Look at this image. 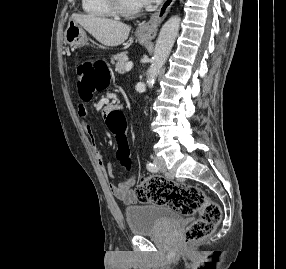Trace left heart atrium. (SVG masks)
Returning <instances> with one entry per match:
<instances>
[{
    "mask_svg": "<svg viewBox=\"0 0 286 269\" xmlns=\"http://www.w3.org/2000/svg\"><path fill=\"white\" fill-rule=\"evenodd\" d=\"M141 6H148L160 2L161 0H138Z\"/></svg>",
    "mask_w": 286,
    "mask_h": 269,
    "instance_id": "39dd6f15",
    "label": "left heart atrium"
}]
</instances>
